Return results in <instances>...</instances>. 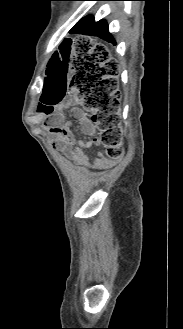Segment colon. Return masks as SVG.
<instances>
[{"mask_svg":"<svg viewBox=\"0 0 183 329\" xmlns=\"http://www.w3.org/2000/svg\"><path fill=\"white\" fill-rule=\"evenodd\" d=\"M63 55H44L45 73L49 81H42L45 96L43 108L49 114L54 109H84L99 130L101 143L105 146V157L109 161L123 154L122 132L118 112V100L111 95L114 82L104 79L101 73H120V66H103V62H115V55H99L103 49L93 48L94 37H62ZM74 42V43H73ZM71 53V55H67ZM53 80V81H52Z\"/></svg>","mask_w":183,"mask_h":329,"instance_id":"colon-1","label":"colon"}]
</instances>
